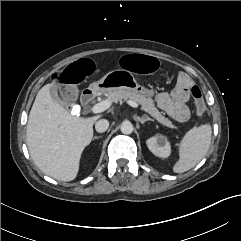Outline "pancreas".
<instances>
[{
    "instance_id": "pancreas-1",
    "label": "pancreas",
    "mask_w": 241,
    "mask_h": 241,
    "mask_svg": "<svg viewBox=\"0 0 241 241\" xmlns=\"http://www.w3.org/2000/svg\"><path fill=\"white\" fill-rule=\"evenodd\" d=\"M108 100L115 103L127 100L134 101L140 104L141 109L156 119L160 124L171 129H177V127L164 116V113L157 109L153 99L147 95L135 93L127 89H117L108 93Z\"/></svg>"
}]
</instances>
